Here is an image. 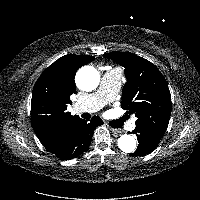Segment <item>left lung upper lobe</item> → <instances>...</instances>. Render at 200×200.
<instances>
[{"instance_id": "5c2ea615", "label": "left lung upper lobe", "mask_w": 200, "mask_h": 200, "mask_svg": "<svg viewBox=\"0 0 200 200\" xmlns=\"http://www.w3.org/2000/svg\"><path fill=\"white\" fill-rule=\"evenodd\" d=\"M104 57L125 67L127 82L122 91L123 109L137 117L136 127L163 136L171 115V95L158 68L129 52H110Z\"/></svg>"}]
</instances>
